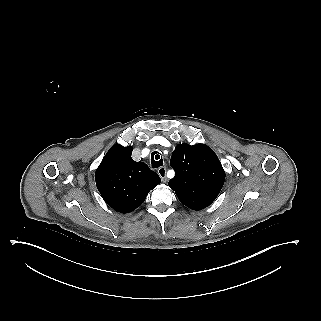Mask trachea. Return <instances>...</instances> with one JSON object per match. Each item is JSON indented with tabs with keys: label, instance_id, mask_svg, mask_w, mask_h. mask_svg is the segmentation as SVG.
<instances>
[{
	"label": "trachea",
	"instance_id": "obj_1",
	"mask_svg": "<svg viewBox=\"0 0 321 321\" xmlns=\"http://www.w3.org/2000/svg\"><path fill=\"white\" fill-rule=\"evenodd\" d=\"M151 165L152 168H158L163 165V159L158 152H153L151 154Z\"/></svg>",
	"mask_w": 321,
	"mask_h": 321
}]
</instances>
